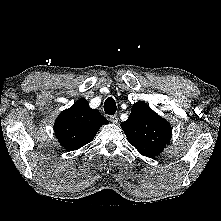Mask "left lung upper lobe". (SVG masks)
Here are the masks:
<instances>
[{
  "label": "left lung upper lobe",
  "mask_w": 221,
  "mask_h": 221,
  "mask_svg": "<svg viewBox=\"0 0 221 221\" xmlns=\"http://www.w3.org/2000/svg\"><path fill=\"white\" fill-rule=\"evenodd\" d=\"M121 127L129 143L150 158L160 154L171 139L170 124L143 101L132 106L130 116Z\"/></svg>",
  "instance_id": "obj_1"
}]
</instances>
